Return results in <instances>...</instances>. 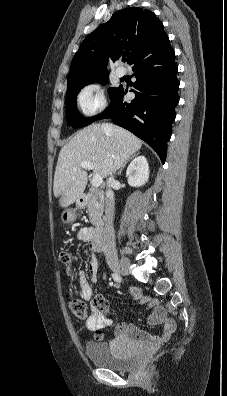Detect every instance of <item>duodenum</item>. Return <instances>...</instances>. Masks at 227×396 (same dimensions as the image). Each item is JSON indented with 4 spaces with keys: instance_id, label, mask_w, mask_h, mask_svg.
Instances as JSON below:
<instances>
[{
    "instance_id": "410a0bca",
    "label": "duodenum",
    "mask_w": 227,
    "mask_h": 396,
    "mask_svg": "<svg viewBox=\"0 0 227 396\" xmlns=\"http://www.w3.org/2000/svg\"><path fill=\"white\" fill-rule=\"evenodd\" d=\"M101 193L102 192L99 189H93V190L89 191L88 193H84V194L80 195L79 198L77 199V205L79 207H83L89 202V200L92 197L99 196V195H101ZM92 240L97 248L103 249V247H104V230L102 227H98L93 231Z\"/></svg>"
}]
</instances>
